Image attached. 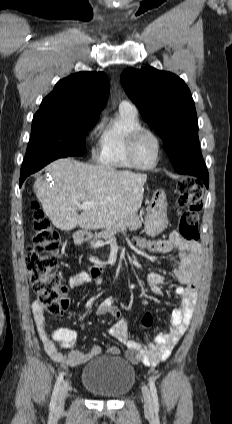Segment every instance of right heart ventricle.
I'll list each match as a JSON object with an SVG mask.
<instances>
[{
  "mask_svg": "<svg viewBox=\"0 0 232 424\" xmlns=\"http://www.w3.org/2000/svg\"><path fill=\"white\" fill-rule=\"evenodd\" d=\"M141 126L136 110L119 107L117 115L100 130L98 162L112 168H132L127 156V141L130 133Z\"/></svg>",
  "mask_w": 232,
  "mask_h": 424,
  "instance_id": "1",
  "label": "right heart ventricle"
}]
</instances>
